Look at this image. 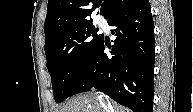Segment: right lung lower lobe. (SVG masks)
Wrapping results in <instances>:
<instances>
[{
  "label": "right lung lower lobe",
  "mask_w": 193,
  "mask_h": 112,
  "mask_svg": "<svg viewBox=\"0 0 193 112\" xmlns=\"http://www.w3.org/2000/svg\"><path fill=\"white\" fill-rule=\"evenodd\" d=\"M116 37L111 58L102 41L70 96L96 88L134 112H152L154 23L148 0H133L109 20Z\"/></svg>",
  "instance_id": "right-lung-lower-lobe-1"
}]
</instances>
